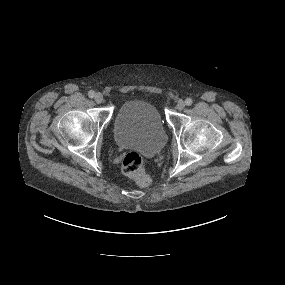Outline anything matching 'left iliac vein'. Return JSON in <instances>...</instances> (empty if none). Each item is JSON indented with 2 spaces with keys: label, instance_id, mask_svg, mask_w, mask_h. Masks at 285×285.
<instances>
[{
  "label": "left iliac vein",
  "instance_id": "obj_1",
  "mask_svg": "<svg viewBox=\"0 0 285 285\" xmlns=\"http://www.w3.org/2000/svg\"><path fill=\"white\" fill-rule=\"evenodd\" d=\"M176 107L178 110H183L185 107V102L183 100H179Z\"/></svg>",
  "mask_w": 285,
  "mask_h": 285
}]
</instances>
